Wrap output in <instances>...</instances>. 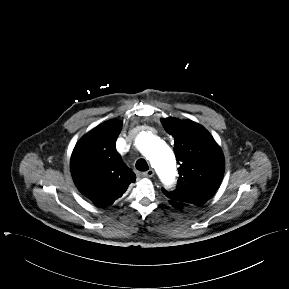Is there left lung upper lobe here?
<instances>
[{
  "label": "left lung upper lobe",
  "mask_w": 289,
  "mask_h": 289,
  "mask_svg": "<svg viewBox=\"0 0 289 289\" xmlns=\"http://www.w3.org/2000/svg\"><path fill=\"white\" fill-rule=\"evenodd\" d=\"M161 122L166 132L174 137V151L180 165L177 188L172 192L162 191L170 200L201 206L223 179V153L200 124L172 117L161 119Z\"/></svg>",
  "instance_id": "obj_1"
}]
</instances>
